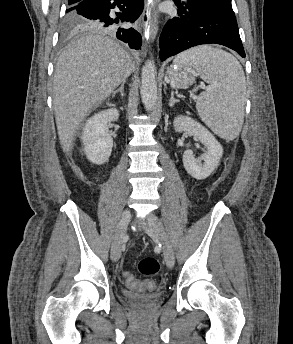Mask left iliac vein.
Instances as JSON below:
<instances>
[{
    "label": "left iliac vein",
    "instance_id": "4c4485c4",
    "mask_svg": "<svg viewBox=\"0 0 293 344\" xmlns=\"http://www.w3.org/2000/svg\"><path fill=\"white\" fill-rule=\"evenodd\" d=\"M146 222L147 223L144 226L145 232L151 238L157 239L162 244V250L166 265L169 268H172L175 263L174 251L160 219L154 214H149Z\"/></svg>",
    "mask_w": 293,
    "mask_h": 344
}]
</instances>
